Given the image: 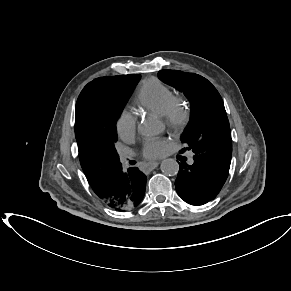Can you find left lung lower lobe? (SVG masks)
<instances>
[{"instance_id": "0a47b994", "label": "left lung lower lobe", "mask_w": 291, "mask_h": 291, "mask_svg": "<svg viewBox=\"0 0 291 291\" xmlns=\"http://www.w3.org/2000/svg\"><path fill=\"white\" fill-rule=\"evenodd\" d=\"M227 177L228 172L194 157L192 165L180 164L175 187L182 200L198 206L213 200Z\"/></svg>"}]
</instances>
